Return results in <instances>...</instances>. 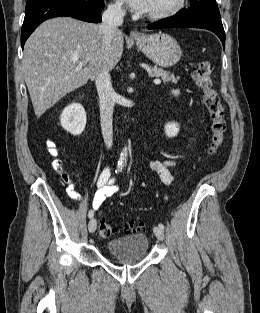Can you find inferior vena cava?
I'll return each instance as SVG.
<instances>
[{"mask_svg":"<svg viewBox=\"0 0 260 313\" xmlns=\"http://www.w3.org/2000/svg\"><path fill=\"white\" fill-rule=\"evenodd\" d=\"M124 15L125 11L119 4L108 5L107 10L103 13L100 30L103 34V44L106 50L110 49L112 39L118 31V27L123 23ZM107 59L108 55L105 54L103 64L96 76L95 84L99 95L102 136L106 147L110 149L113 144L112 115L114 108V90L111 84L110 70L106 65Z\"/></svg>","mask_w":260,"mask_h":313,"instance_id":"inferior-vena-cava-1","label":"inferior vena cava"}]
</instances>
